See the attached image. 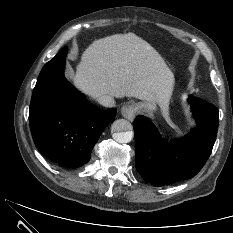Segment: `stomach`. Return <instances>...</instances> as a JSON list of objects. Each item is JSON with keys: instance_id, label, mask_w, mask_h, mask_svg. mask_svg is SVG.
I'll use <instances>...</instances> for the list:
<instances>
[{"instance_id": "1", "label": "stomach", "mask_w": 233, "mask_h": 233, "mask_svg": "<svg viewBox=\"0 0 233 233\" xmlns=\"http://www.w3.org/2000/svg\"><path fill=\"white\" fill-rule=\"evenodd\" d=\"M139 111L147 113L149 116H153V113L157 111V103L155 101H145L137 105Z\"/></svg>"}]
</instances>
